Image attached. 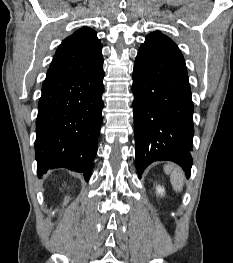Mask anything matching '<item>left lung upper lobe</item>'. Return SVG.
Returning a JSON list of instances; mask_svg holds the SVG:
<instances>
[{
  "instance_id": "5c2ea615",
  "label": "left lung upper lobe",
  "mask_w": 233,
  "mask_h": 263,
  "mask_svg": "<svg viewBox=\"0 0 233 263\" xmlns=\"http://www.w3.org/2000/svg\"><path fill=\"white\" fill-rule=\"evenodd\" d=\"M152 38H159V39L172 41L169 37H167L166 35H163L162 33L158 31L152 32L146 37V39H152Z\"/></svg>"
}]
</instances>
